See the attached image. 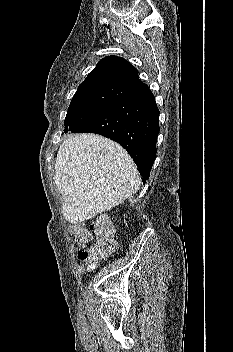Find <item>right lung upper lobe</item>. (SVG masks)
<instances>
[{"label":"right lung upper lobe","instance_id":"1","mask_svg":"<svg viewBox=\"0 0 233 352\" xmlns=\"http://www.w3.org/2000/svg\"><path fill=\"white\" fill-rule=\"evenodd\" d=\"M99 85L124 86L133 88L137 92L148 88L147 84L140 81L138 70L118 56H107L100 60L78 89Z\"/></svg>","mask_w":233,"mask_h":352}]
</instances>
